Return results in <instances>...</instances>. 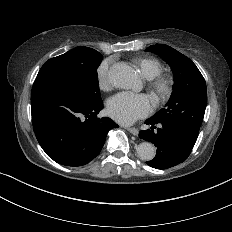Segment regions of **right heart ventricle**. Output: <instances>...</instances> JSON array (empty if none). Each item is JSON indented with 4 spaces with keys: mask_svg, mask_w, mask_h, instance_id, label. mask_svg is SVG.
Listing matches in <instances>:
<instances>
[{
    "mask_svg": "<svg viewBox=\"0 0 232 232\" xmlns=\"http://www.w3.org/2000/svg\"><path fill=\"white\" fill-rule=\"evenodd\" d=\"M141 75L146 80H152L162 73V66L158 60L152 57H140L137 59Z\"/></svg>",
    "mask_w": 232,
    "mask_h": 232,
    "instance_id": "e07e8e85",
    "label": "right heart ventricle"
}]
</instances>
